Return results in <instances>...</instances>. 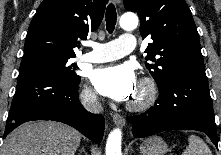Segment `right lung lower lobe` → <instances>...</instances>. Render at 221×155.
Instances as JSON below:
<instances>
[{
  "mask_svg": "<svg viewBox=\"0 0 221 155\" xmlns=\"http://www.w3.org/2000/svg\"><path fill=\"white\" fill-rule=\"evenodd\" d=\"M65 82L39 68L20 71L17 89L8 115L4 137L24 122L55 120L68 124L95 143L104 133V119L84 109L78 98V84Z\"/></svg>",
  "mask_w": 221,
  "mask_h": 155,
  "instance_id": "98d812e1",
  "label": "right lung lower lobe"
}]
</instances>
